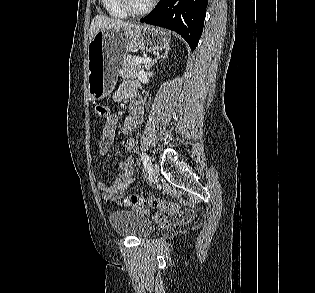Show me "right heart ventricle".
<instances>
[{
  "label": "right heart ventricle",
  "instance_id": "right-heart-ventricle-1",
  "mask_svg": "<svg viewBox=\"0 0 315 293\" xmlns=\"http://www.w3.org/2000/svg\"><path fill=\"white\" fill-rule=\"evenodd\" d=\"M102 8L111 17L116 19H125L127 14L119 5L118 0H100Z\"/></svg>",
  "mask_w": 315,
  "mask_h": 293
}]
</instances>
